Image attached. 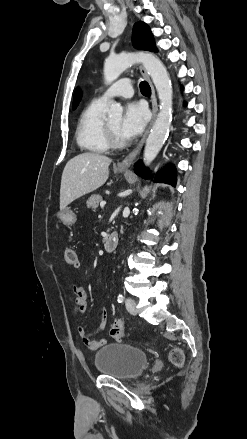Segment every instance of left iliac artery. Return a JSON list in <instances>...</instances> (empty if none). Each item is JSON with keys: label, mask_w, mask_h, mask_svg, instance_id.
Segmentation results:
<instances>
[{"label": "left iliac artery", "mask_w": 247, "mask_h": 439, "mask_svg": "<svg viewBox=\"0 0 247 439\" xmlns=\"http://www.w3.org/2000/svg\"><path fill=\"white\" fill-rule=\"evenodd\" d=\"M117 300L119 303H122L124 301V296L122 294H119Z\"/></svg>", "instance_id": "left-iliac-artery-1"}]
</instances>
